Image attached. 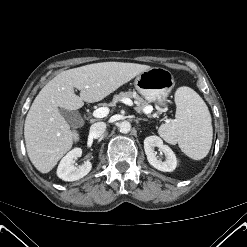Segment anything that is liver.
Here are the masks:
<instances>
[{
  "label": "liver",
  "mask_w": 247,
  "mask_h": 247,
  "mask_svg": "<svg viewBox=\"0 0 247 247\" xmlns=\"http://www.w3.org/2000/svg\"><path fill=\"white\" fill-rule=\"evenodd\" d=\"M148 69L135 63L102 62L63 71L50 80L34 99L24 124L26 149L35 168L50 172L79 141L78 132L70 129L59 107L72 111L84 101L98 102Z\"/></svg>",
  "instance_id": "liver-1"
}]
</instances>
